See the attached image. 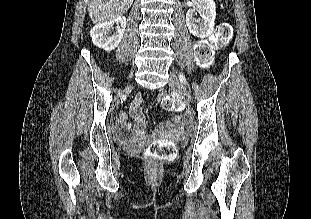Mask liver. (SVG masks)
Returning a JSON list of instances; mask_svg holds the SVG:
<instances>
[{
	"instance_id": "obj_1",
	"label": "liver",
	"mask_w": 311,
	"mask_h": 219,
	"mask_svg": "<svg viewBox=\"0 0 311 219\" xmlns=\"http://www.w3.org/2000/svg\"><path fill=\"white\" fill-rule=\"evenodd\" d=\"M133 0H88V12L93 24L116 19L125 14Z\"/></svg>"
}]
</instances>
